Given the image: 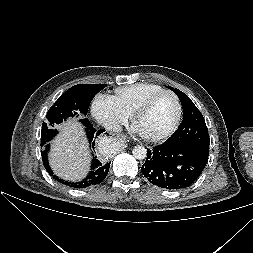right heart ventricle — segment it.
I'll return each instance as SVG.
<instances>
[{"instance_id": "obj_1", "label": "right heart ventricle", "mask_w": 253, "mask_h": 253, "mask_svg": "<svg viewBox=\"0 0 253 253\" xmlns=\"http://www.w3.org/2000/svg\"><path fill=\"white\" fill-rule=\"evenodd\" d=\"M161 90L163 88L157 84L138 83L117 88L115 95L111 97L120 111L131 117L145 99Z\"/></svg>"}]
</instances>
